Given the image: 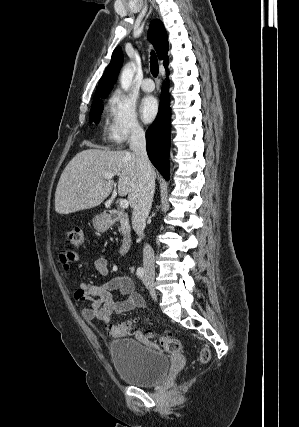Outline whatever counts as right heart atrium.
Returning a JSON list of instances; mask_svg holds the SVG:
<instances>
[{"label": "right heart atrium", "mask_w": 299, "mask_h": 427, "mask_svg": "<svg viewBox=\"0 0 299 427\" xmlns=\"http://www.w3.org/2000/svg\"><path fill=\"white\" fill-rule=\"evenodd\" d=\"M106 109L108 114L106 135L112 144L121 146L129 139L143 134L144 130L137 118L135 105L122 92L115 91L110 95Z\"/></svg>", "instance_id": "obj_1"}]
</instances>
